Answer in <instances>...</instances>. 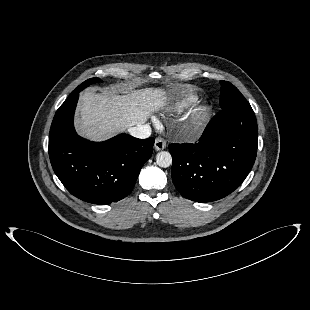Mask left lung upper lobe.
Masks as SVG:
<instances>
[{"mask_svg": "<svg viewBox=\"0 0 310 310\" xmlns=\"http://www.w3.org/2000/svg\"><path fill=\"white\" fill-rule=\"evenodd\" d=\"M245 104H248L247 100L234 85L227 81H221V109L240 107Z\"/></svg>", "mask_w": 310, "mask_h": 310, "instance_id": "5c2ea615", "label": "left lung upper lobe"}]
</instances>
